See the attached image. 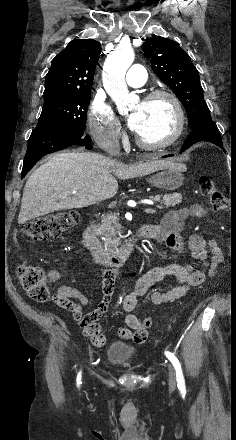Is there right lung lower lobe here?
<instances>
[{
  "mask_svg": "<svg viewBox=\"0 0 236 440\" xmlns=\"http://www.w3.org/2000/svg\"><path fill=\"white\" fill-rule=\"evenodd\" d=\"M91 138L79 130L34 129L28 140L22 177L45 155L71 145L85 146L91 150Z\"/></svg>",
  "mask_w": 236,
  "mask_h": 440,
  "instance_id": "obj_1",
  "label": "right lung lower lobe"
}]
</instances>
